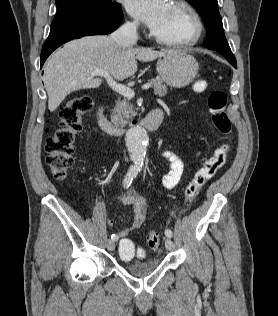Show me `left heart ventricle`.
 I'll use <instances>...</instances> for the list:
<instances>
[{
    "label": "left heart ventricle",
    "instance_id": "1",
    "mask_svg": "<svg viewBox=\"0 0 278 316\" xmlns=\"http://www.w3.org/2000/svg\"><path fill=\"white\" fill-rule=\"evenodd\" d=\"M153 32L165 39L182 40L191 36L193 22L185 11L170 4L164 20Z\"/></svg>",
    "mask_w": 278,
    "mask_h": 316
}]
</instances>
